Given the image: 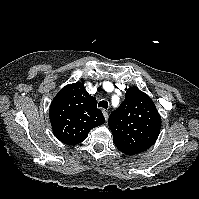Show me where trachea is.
<instances>
[{"label": "trachea", "mask_w": 199, "mask_h": 199, "mask_svg": "<svg viewBox=\"0 0 199 199\" xmlns=\"http://www.w3.org/2000/svg\"><path fill=\"white\" fill-rule=\"evenodd\" d=\"M98 107L107 109L108 108V102L104 101V100L100 101L99 104H98Z\"/></svg>", "instance_id": "1"}]
</instances>
